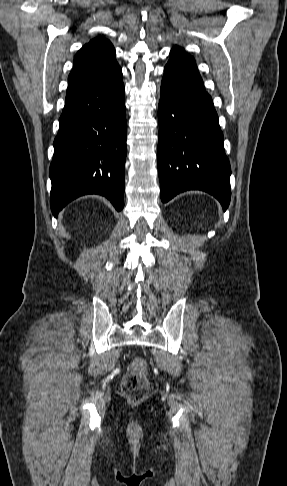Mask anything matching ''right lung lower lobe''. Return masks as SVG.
Segmentation results:
<instances>
[{
    "label": "right lung lower lobe",
    "mask_w": 287,
    "mask_h": 486,
    "mask_svg": "<svg viewBox=\"0 0 287 486\" xmlns=\"http://www.w3.org/2000/svg\"><path fill=\"white\" fill-rule=\"evenodd\" d=\"M50 165L54 216L86 194L107 197L124 207L126 109L122 76L65 101Z\"/></svg>",
    "instance_id": "obj_1"
}]
</instances>
